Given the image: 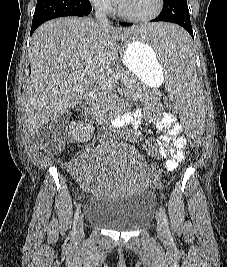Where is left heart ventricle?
Instances as JSON below:
<instances>
[{"label": "left heart ventricle", "mask_w": 227, "mask_h": 267, "mask_svg": "<svg viewBox=\"0 0 227 267\" xmlns=\"http://www.w3.org/2000/svg\"><path fill=\"white\" fill-rule=\"evenodd\" d=\"M120 5L130 15L144 16L155 9L156 0H123Z\"/></svg>", "instance_id": "1"}]
</instances>
